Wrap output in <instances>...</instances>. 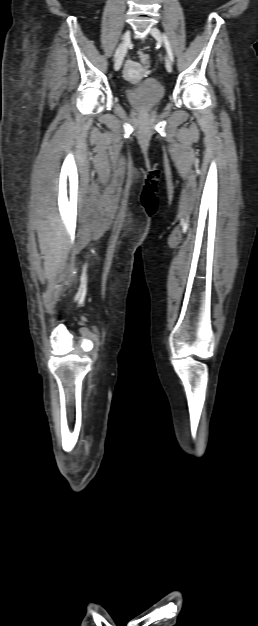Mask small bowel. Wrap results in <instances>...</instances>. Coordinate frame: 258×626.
<instances>
[{
	"label": "small bowel",
	"instance_id": "small-bowel-1",
	"mask_svg": "<svg viewBox=\"0 0 258 626\" xmlns=\"http://www.w3.org/2000/svg\"><path fill=\"white\" fill-rule=\"evenodd\" d=\"M134 67H135V63H134V62H132V61H128V62H127V70H128V71L133 70V69H134Z\"/></svg>",
	"mask_w": 258,
	"mask_h": 626
}]
</instances>
